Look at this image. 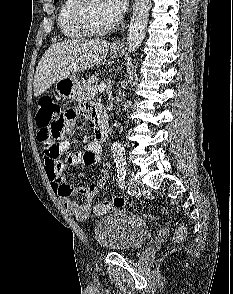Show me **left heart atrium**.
<instances>
[{
  "instance_id": "obj_1",
  "label": "left heart atrium",
  "mask_w": 233,
  "mask_h": 294,
  "mask_svg": "<svg viewBox=\"0 0 233 294\" xmlns=\"http://www.w3.org/2000/svg\"><path fill=\"white\" fill-rule=\"evenodd\" d=\"M105 4L111 14L118 19L125 12L128 0H105Z\"/></svg>"
}]
</instances>
